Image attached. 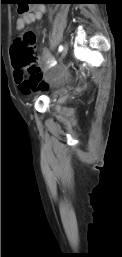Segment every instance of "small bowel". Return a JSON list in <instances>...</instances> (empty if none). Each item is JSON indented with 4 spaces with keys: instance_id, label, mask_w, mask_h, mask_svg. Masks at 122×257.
Segmentation results:
<instances>
[{
    "instance_id": "small-bowel-1",
    "label": "small bowel",
    "mask_w": 122,
    "mask_h": 257,
    "mask_svg": "<svg viewBox=\"0 0 122 257\" xmlns=\"http://www.w3.org/2000/svg\"><path fill=\"white\" fill-rule=\"evenodd\" d=\"M46 13V7L38 5L27 12L22 13L16 21V29L22 30L26 25L41 20ZM54 61L52 55L47 49L42 52L41 68L39 76L35 79L31 78L23 70H15V80L18 88L23 95H29L32 91L46 88L43 83V76L53 66ZM62 78H73V73H62Z\"/></svg>"
}]
</instances>
